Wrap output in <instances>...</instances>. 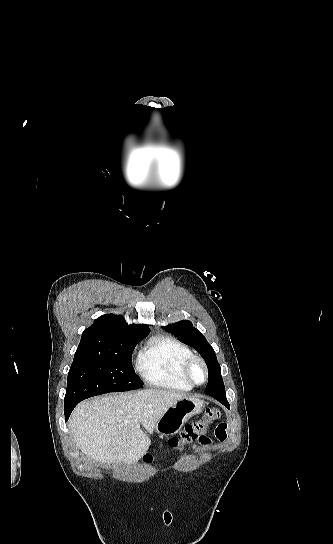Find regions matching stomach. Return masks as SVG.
<instances>
[{
	"label": "stomach",
	"mask_w": 333,
	"mask_h": 544,
	"mask_svg": "<svg viewBox=\"0 0 333 544\" xmlns=\"http://www.w3.org/2000/svg\"><path fill=\"white\" fill-rule=\"evenodd\" d=\"M204 408V401L184 397L174 403L159 419L154 430L160 436H172L180 431L188 419Z\"/></svg>",
	"instance_id": "1"
}]
</instances>
